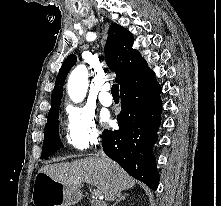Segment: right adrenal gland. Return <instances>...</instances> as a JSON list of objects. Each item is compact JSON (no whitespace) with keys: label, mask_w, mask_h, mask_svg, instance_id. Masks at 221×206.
<instances>
[{"label":"right adrenal gland","mask_w":221,"mask_h":206,"mask_svg":"<svg viewBox=\"0 0 221 206\" xmlns=\"http://www.w3.org/2000/svg\"><path fill=\"white\" fill-rule=\"evenodd\" d=\"M127 194H122L121 192H118L117 194V200L115 201V203L112 206H116L118 203H120L121 201H124L126 198Z\"/></svg>","instance_id":"obj_1"}]
</instances>
